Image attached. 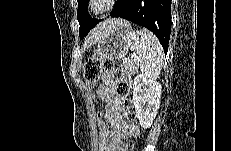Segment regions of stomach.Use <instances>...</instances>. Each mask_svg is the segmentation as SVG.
I'll return each mask as SVG.
<instances>
[{
	"label": "stomach",
	"mask_w": 231,
	"mask_h": 151,
	"mask_svg": "<svg viewBox=\"0 0 231 151\" xmlns=\"http://www.w3.org/2000/svg\"><path fill=\"white\" fill-rule=\"evenodd\" d=\"M131 31L129 24L107 30L100 38L92 57L99 60L124 58L129 50L127 36Z\"/></svg>",
	"instance_id": "stomach-1"
}]
</instances>
